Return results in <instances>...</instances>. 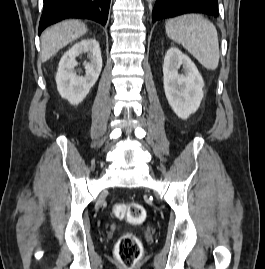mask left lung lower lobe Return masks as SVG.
Instances as JSON below:
<instances>
[{"label":"left lung lower lobe","mask_w":265,"mask_h":269,"mask_svg":"<svg viewBox=\"0 0 265 269\" xmlns=\"http://www.w3.org/2000/svg\"><path fill=\"white\" fill-rule=\"evenodd\" d=\"M186 13H203L218 17V0H156L152 21Z\"/></svg>","instance_id":"left-lung-lower-lobe-1"}]
</instances>
